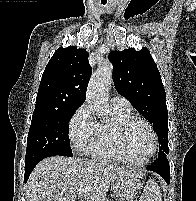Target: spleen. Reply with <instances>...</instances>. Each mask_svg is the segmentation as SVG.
<instances>
[{"label": "spleen", "instance_id": "spleen-1", "mask_svg": "<svg viewBox=\"0 0 196 201\" xmlns=\"http://www.w3.org/2000/svg\"><path fill=\"white\" fill-rule=\"evenodd\" d=\"M140 201H162V194L159 190V186L154 180L148 181Z\"/></svg>", "mask_w": 196, "mask_h": 201}]
</instances>
